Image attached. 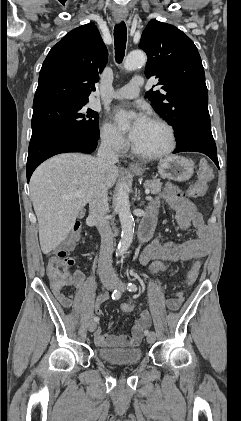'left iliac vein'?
Returning <instances> with one entry per match:
<instances>
[{
  "mask_svg": "<svg viewBox=\"0 0 241 421\" xmlns=\"http://www.w3.org/2000/svg\"><path fill=\"white\" fill-rule=\"evenodd\" d=\"M113 282H114V287L115 288H117L120 291H124V284H123V282L120 279L116 278V279H114ZM146 339H147V342L148 343L152 344L156 340V334L154 332H150L147 335V338Z\"/></svg>",
  "mask_w": 241,
  "mask_h": 421,
  "instance_id": "left-iliac-vein-1",
  "label": "left iliac vein"
}]
</instances>
